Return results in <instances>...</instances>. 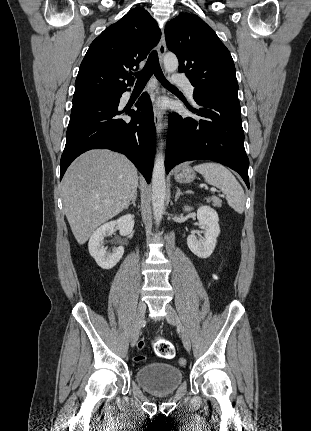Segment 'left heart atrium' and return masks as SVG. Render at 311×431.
Wrapping results in <instances>:
<instances>
[{
    "mask_svg": "<svg viewBox=\"0 0 311 431\" xmlns=\"http://www.w3.org/2000/svg\"><path fill=\"white\" fill-rule=\"evenodd\" d=\"M153 107L157 111H163L166 108V101L163 99H158L155 101Z\"/></svg>",
    "mask_w": 311,
    "mask_h": 431,
    "instance_id": "39dd6f15",
    "label": "left heart atrium"
}]
</instances>
